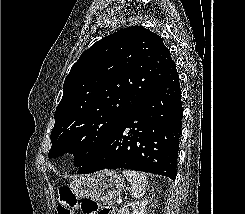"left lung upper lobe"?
Wrapping results in <instances>:
<instances>
[{
  "label": "left lung upper lobe",
  "instance_id": "obj_1",
  "mask_svg": "<svg viewBox=\"0 0 245 214\" xmlns=\"http://www.w3.org/2000/svg\"><path fill=\"white\" fill-rule=\"evenodd\" d=\"M175 70L161 37L144 27H128L94 43L65 79L48 157L72 153L81 167Z\"/></svg>",
  "mask_w": 245,
  "mask_h": 214
}]
</instances>
